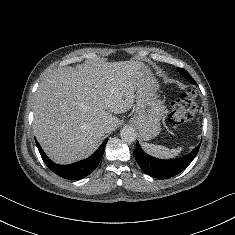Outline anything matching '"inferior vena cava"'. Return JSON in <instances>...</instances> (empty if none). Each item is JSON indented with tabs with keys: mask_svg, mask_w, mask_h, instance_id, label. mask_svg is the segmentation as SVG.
Instances as JSON below:
<instances>
[{
	"mask_svg": "<svg viewBox=\"0 0 235 235\" xmlns=\"http://www.w3.org/2000/svg\"><path fill=\"white\" fill-rule=\"evenodd\" d=\"M102 129H106V124H104V125L102 126Z\"/></svg>",
	"mask_w": 235,
	"mask_h": 235,
	"instance_id": "1",
	"label": "inferior vena cava"
}]
</instances>
